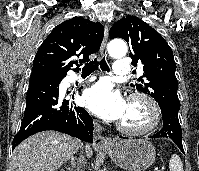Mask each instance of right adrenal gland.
<instances>
[{
    "mask_svg": "<svg viewBox=\"0 0 199 171\" xmlns=\"http://www.w3.org/2000/svg\"><path fill=\"white\" fill-rule=\"evenodd\" d=\"M70 163H71V166H70V167H67L68 171H76V170H75L76 161H75L74 157H71ZM77 171H78V170H77Z\"/></svg>",
    "mask_w": 199,
    "mask_h": 171,
    "instance_id": "2a0ac1e0",
    "label": "right adrenal gland"
}]
</instances>
